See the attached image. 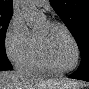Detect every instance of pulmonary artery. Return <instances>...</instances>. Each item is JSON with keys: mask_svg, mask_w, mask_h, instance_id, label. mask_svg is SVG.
<instances>
[{"mask_svg": "<svg viewBox=\"0 0 89 89\" xmlns=\"http://www.w3.org/2000/svg\"><path fill=\"white\" fill-rule=\"evenodd\" d=\"M33 2L38 6H43V5H46L48 3V1H46V0H36Z\"/></svg>", "mask_w": 89, "mask_h": 89, "instance_id": "pulmonary-artery-1", "label": "pulmonary artery"}]
</instances>
